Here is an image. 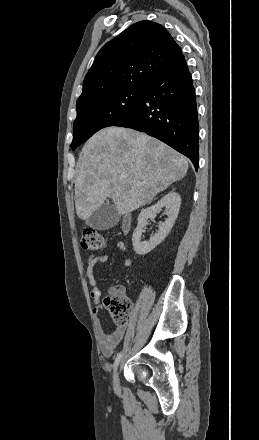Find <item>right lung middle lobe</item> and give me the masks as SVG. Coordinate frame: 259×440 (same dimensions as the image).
Instances as JSON below:
<instances>
[{
    "instance_id": "right-lung-middle-lobe-1",
    "label": "right lung middle lobe",
    "mask_w": 259,
    "mask_h": 440,
    "mask_svg": "<svg viewBox=\"0 0 259 440\" xmlns=\"http://www.w3.org/2000/svg\"><path fill=\"white\" fill-rule=\"evenodd\" d=\"M147 88H127L112 92L77 108L73 123L74 150L102 128L113 126L131 113L143 98Z\"/></svg>"
}]
</instances>
